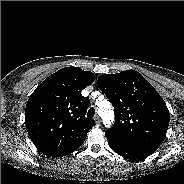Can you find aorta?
Segmentation results:
<instances>
[{
	"label": "aorta",
	"instance_id": "aorta-1",
	"mask_svg": "<svg viewBox=\"0 0 184 184\" xmlns=\"http://www.w3.org/2000/svg\"><path fill=\"white\" fill-rule=\"evenodd\" d=\"M98 113L101 116L105 126H110L114 120V113L109 101L103 100L98 102Z\"/></svg>",
	"mask_w": 184,
	"mask_h": 184
}]
</instances>
